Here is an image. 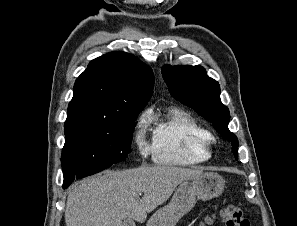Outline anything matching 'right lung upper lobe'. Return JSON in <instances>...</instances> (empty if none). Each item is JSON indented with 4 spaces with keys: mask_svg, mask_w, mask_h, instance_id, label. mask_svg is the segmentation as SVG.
<instances>
[{
    "mask_svg": "<svg viewBox=\"0 0 297 226\" xmlns=\"http://www.w3.org/2000/svg\"><path fill=\"white\" fill-rule=\"evenodd\" d=\"M149 66L125 52L92 60L77 78L66 122L118 121L128 107L145 106L153 92Z\"/></svg>",
    "mask_w": 297,
    "mask_h": 226,
    "instance_id": "cb5924a9",
    "label": "right lung upper lobe"
}]
</instances>
